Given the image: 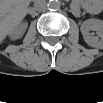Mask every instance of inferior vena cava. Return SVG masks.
<instances>
[{
	"label": "inferior vena cava",
	"instance_id": "obj_1",
	"mask_svg": "<svg viewBox=\"0 0 103 103\" xmlns=\"http://www.w3.org/2000/svg\"><path fill=\"white\" fill-rule=\"evenodd\" d=\"M47 8V3L45 0H36L34 2V9L36 11H45Z\"/></svg>",
	"mask_w": 103,
	"mask_h": 103
}]
</instances>
